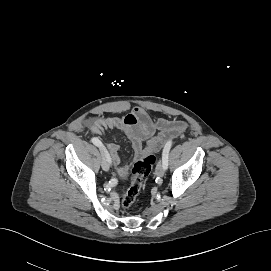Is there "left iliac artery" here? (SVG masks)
<instances>
[{"label": "left iliac artery", "mask_w": 271, "mask_h": 271, "mask_svg": "<svg viewBox=\"0 0 271 271\" xmlns=\"http://www.w3.org/2000/svg\"><path fill=\"white\" fill-rule=\"evenodd\" d=\"M172 143H173L172 140H169L165 144L163 152H162V163L165 169H167L168 167V155H169V151L171 149Z\"/></svg>", "instance_id": "left-iliac-artery-1"}]
</instances>
